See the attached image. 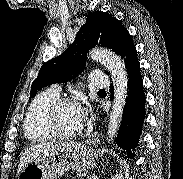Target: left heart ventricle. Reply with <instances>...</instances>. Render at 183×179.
<instances>
[{"label":"left heart ventricle","instance_id":"obj_1","mask_svg":"<svg viewBox=\"0 0 183 179\" xmlns=\"http://www.w3.org/2000/svg\"><path fill=\"white\" fill-rule=\"evenodd\" d=\"M82 108L76 105H64L58 111L55 118V126L58 131L70 133L78 130L83 125Z\"/></svg>","mask_w":183,"mask_h":179}]
</instances>
